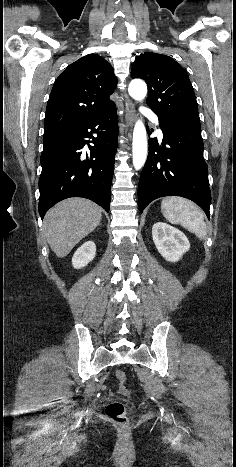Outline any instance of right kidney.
I'll list each match as a JSON object with an SVG mask.
<instances>
[{"label": "right kidney", "mask_w": 236, "mask_h": 467, "mask_svg": "<svg viewBox=\"0 0 236 467\" xmlns=\"http://www.w3.org/2000/svg\"><path fill=\"white\" fill-rule=\"evenodd\" d=\"M96 255V245L92 241L82 244L74 253L72 265L75 269L85 267Z\"/></svg>", "instance_id": "ca27d5eb"}]
</instances>
